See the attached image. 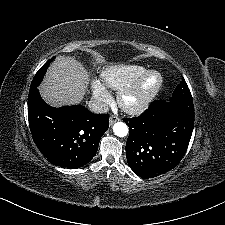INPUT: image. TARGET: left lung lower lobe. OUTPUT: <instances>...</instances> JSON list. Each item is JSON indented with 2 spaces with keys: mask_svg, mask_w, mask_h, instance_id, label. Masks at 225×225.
I'll list each match as a JSON object with an SVG mask.
<instances>
[{
  "mask_svg": "<svg viewBox=\"0 0 225 225\" xmlns=\"http://www.w3.org/2000/svg\"><path fill=\"white\" fill-rule=\"evenodd\" d=\"M129 126L126 157L142 178L174 168L183 158L194 126L193 100H158L138 117L123 119Z\"/></svg>",
  "mask_w": 225,
  "mask_h": 225,
  "instance_id": "obj_1",
  "label": "left lung lower lobe"
}]
</instances>
